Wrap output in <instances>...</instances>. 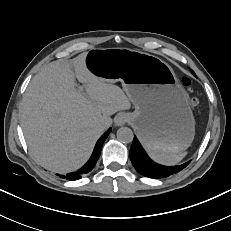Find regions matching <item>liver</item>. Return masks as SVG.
<instances>
[{"mask_svg":"<svg viewBox=\"0 0 231 231\" xmlns=\"http://www.w3.org/2000/svg\"><path fill=\"white\" fill-rule=\"evenodd\" d=\"M85 57L82 53L46 66L31 80L20 105V124L32 156L60 174L83 166L105 131L102 125L108 128L111 115L131 107L119 86L87 69ZM76 78L85 94L77 89Z\"/></svg>","mask_w":231,"mask_h":231,"instance_id":"liver-1","label":"liver"}]
</instances>
